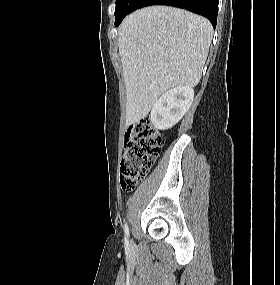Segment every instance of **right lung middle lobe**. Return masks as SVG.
I'll return each instance as SVG.
<instances>
[{
	"label": "right lung middle lobe",
	"instance_id": "dd1d6c3e",
	"mask_svg": "<svg viewBox=\"0 0 280 285\" xmlns=\"http://www.w3.org/2000/svg\"><path fill=\"white\" fill-rule=\"evenodd\" d=\"M137 0H116L115 24L132 12Z\"/></svg>",
	"mask_w": 280,
	"mask_h": 285
}]
</instances>
